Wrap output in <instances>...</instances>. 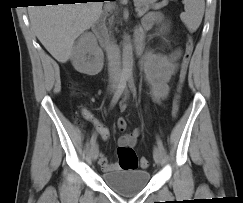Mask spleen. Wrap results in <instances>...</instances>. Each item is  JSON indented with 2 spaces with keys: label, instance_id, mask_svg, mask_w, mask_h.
Instances as JSON below:
<instances>
[{
  "label": "spleen",
  "instance_id": "obj_1",
  "mask_svg": "<svg viewBox=\"0 0 243 203\" xmlns=\"http://www.w3.org/2000/svg\"><path fill=\"white\" fill-rule=\"evenodd\" d=\"M185 12L180 15L182 22L190 32H195L204 15V0H183Z\"/></svg>",
  "mask_w": 243,
  "mask_h": 203
}]
</instances>
